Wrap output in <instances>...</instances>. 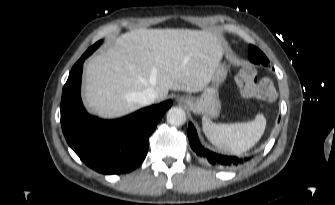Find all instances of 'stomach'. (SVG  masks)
I'll use <instances>...</instances> for the list:
<instances>
[{"mask_svg": "<svg viewBox=\"0 0 335 205\" xmlns=\"http://www.w3.org/2000/svg\"><path fill=\"white\" fill-rule=\"evenodd\" d=\"M228 74V69L225 64L220 63L216 68L211 85L205 88L202 94L198 97L183 96L180 100L196 114L216 118L221 110V102L219 99V87L225 81Z\"/></svg>", "mask_w": 335, "mask_h": 205, "instance_id": "0dacf381", "label": "stomach"}]
</instances>
